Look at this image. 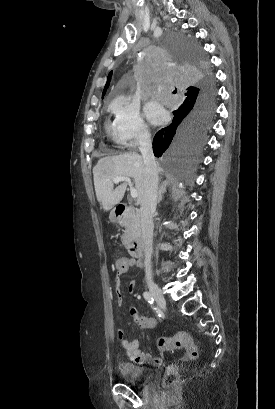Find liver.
I'll return each instance as SVG.
<instances>
[{
  "mask_svg": "<svg viewBox=\"0 0 275 409\" xmlns=\"http://www.w3.org/2000/svg\"><path fill=\"white\" fill-rule=\"evenodd\" d=\"M160 168V166H158ZM116 176H132L138 190V202L144 194L145 164L143 156L137 152H126L117 156H103L93 168L95 192L101 209L110 211L122 200L127 182L113 188Z\"/></svg>",
  "mask_w": 275,
  "mask_h": 409,
  "instance_id": "obj_1",
  "label": "liver"
}]
</instances>
